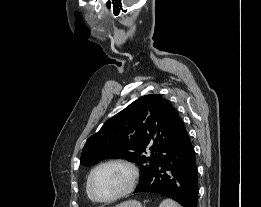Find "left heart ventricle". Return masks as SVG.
I'll list each match as a JSON object with an SVG mask.
<instances>
[{"mask_svg":"<svg viewBox=\"0 0 261 207\" xmlns=\"http://www.w3.org/2000/svg\"><path fill=\"white\" fill-rule=\"evenodd\" d=\"M128 169L120 165H108L99 169L93 178V190L102 199L121 192L129 183Z\"/></svg>","mask_w":261,"mask_h":207,"instance_id":"b2bd125f","label":"left heart ventricle"}]
</instances>
